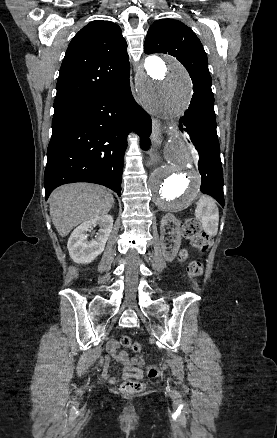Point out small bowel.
<instances>
[{
    "mask_svg": "<svg viewBox=\"0 0 277 438\" xmlns=\"http://www.w3.org/2000/svg\"><path fill=\"white\" fill-rule=\"evenodd\" d=\"M114 358L122 364V375L124 378L138 377L141 373V367L144 365V358L142 356L130 357L124 352H117L118 344L115 341L108 344ZM103 367L108 368L111 365L110 360L105 359L102 362ZM106 378L112 379L109 373L104 374Z\"/></svg>",
    "mask_w": 277,
    "mask_h": 438,
    "instance_id": "obj_1",
    "label": "small bowel"
}]
</instances>
